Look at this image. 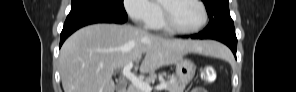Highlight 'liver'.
<instances>
[{
  "label": "liver",
  "instance_id": "1",
  "mask_svg": "<svg viewBox=\"0 0 296 92\" xmlns=\"http://www.w3.org/2000/svg\"><path fill=\"white\" fill-rule=\"evenodd\" d=\"M214 41L172 40L128 24H94L79 29L62 45L59 56L64 92H115L114 72L139 63L140 73L153 74L188 53L214 55Z\"/></svg>",
  "mask_w": 296,
  "mask_h": 92
}]
</instances>
